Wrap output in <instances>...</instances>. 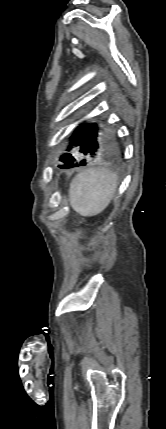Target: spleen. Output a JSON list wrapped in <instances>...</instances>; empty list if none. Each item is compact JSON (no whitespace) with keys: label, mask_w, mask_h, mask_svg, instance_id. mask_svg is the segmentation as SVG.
Instances as JSON below:
<instances>
[{"label":"spleen","mask_w":166,"mask_h":429,"mask_svg":"<svg viewBox=\"0 0 166 429\" xmlns=\"http://www.w3.org/2000/svg\"><path fill=\"white\" fill-rule=\"evenodd\" d=\"M117 184V174L107 168L86 169L71 181L70 204L82 216H95L108 206Z\"/></svg>","instance_id":"1"}]
</instances>
